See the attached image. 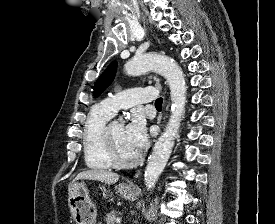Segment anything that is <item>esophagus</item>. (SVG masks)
<instances>
[{
    "instance_id": "34e87169",
    "label": "esophagus",
    "mask_w": 275,
    "mask_h": 224,
    "mask_svg": "<svg viewBox=\"0 0 275 224\" xmlns=\"http://www.w3.org/2000/svg\"><path fill=\"white\" fill-rule=\"evenodd\" d=\"M161 119H162L161 117H160V118H158V124H160V122H161Z\"/></svg>"
}]
</instances>
